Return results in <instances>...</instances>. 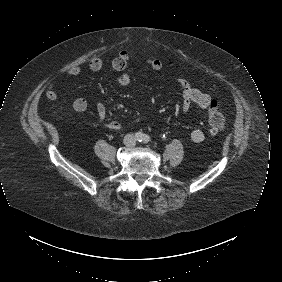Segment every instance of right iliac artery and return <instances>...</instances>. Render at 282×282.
<instances>
[{"instance_id":"right-iliac-artery-1","label":"right iliac artery","mask_w":282,"mask_h":282,"mask_svg":"<svg viewBox=\"0 0 282 282\" xmlns=\"http://www.w3.org/2000/svg\"><path fill=\"white\" fill-rule=\"evenodd\" d=\"M135 138H136V140H138V141H142L143 135H142L141 133H136V134H135Z\"/></svg>"}]
</instances>
